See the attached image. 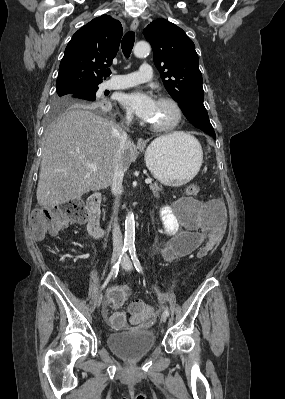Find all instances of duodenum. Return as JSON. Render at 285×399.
I'll list each match as a JSON object with an SVG mask.
<instances>
[{"instance_id": "410a0bca", "label": "duodenum", "mask_w": 285, "mask_h": 399, "mask_svg": "<svg viewBox=\"0 0 285 399\" xmlns=\"http://www.w3.org/2000/svg\"><path fill=\"white\" fill-rule=\"evenodd\" d=\"M102 197L100 194L95 193L87 200V227L89 233L97 239H101L106 234V229L101 223V204Z\"/></svg>"}]
</instances>
